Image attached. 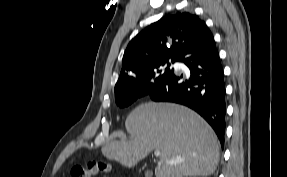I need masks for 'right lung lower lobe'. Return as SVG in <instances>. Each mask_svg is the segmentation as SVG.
<instances>
[{
    "instance_id": "1",
    "label": "right lung lower lobe",
    "mask_w": 287,
    "mask_h": 177,
    "mask_svg": "<svg viewBox=\"0 0 287 177\" xmlns=\"http://www.w3.org/2000/svg\"><path fill=\"white\" fill-rule=\"evenodd\" d=\"M178 61L189 68L190 76L173 71L144 96L195 110L212 126L223 147L226 128L224 74L211 31L207 29L191 41Z\"/></svg>"
}]
</instances>
